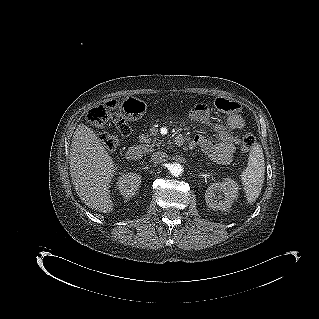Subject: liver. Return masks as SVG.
<instances>
[{
    "mask_svg": "<svg viewBox=\"0 0 319 319\" xmlns=\"http://www.w3.org/2000/svg\"><path fill=\"white\" fill-rule=\"evenodd\" d=\"M69 163L73 186L84 204L111 212L109 184L116 167L101 140L84 124L78 125L72 137Z\"/></svg>",
    "mask_w": 319,
    "mask_h": 319,
    "instance_id": "1",
    "label": "liver"
}]
</instances>
